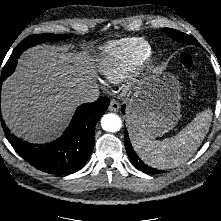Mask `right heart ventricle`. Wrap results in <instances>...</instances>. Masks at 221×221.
I'll use <instances>...</instances> for the list:
<instances>
[{"mask_svg":"<svg viewBox=\"0 0 221 221\" xmlns=\"http://www.w3.org/2000/svg\"><path fill=\"white\" fill-rule=\"evenodd\" d=\"M151 53L150 43L143 38H125L103 46L97 67L109 83H121L144 62Z\"/></svg>","mask_w":221,"mask_h":221,"instance_id":"right-heart-ventricle-1","label":"right heart ventricle"}]
</instances>
